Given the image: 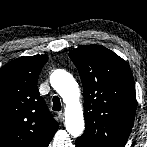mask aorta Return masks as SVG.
<instances>
[{
    "instance_id": "762f6f07",
    "label": "aorta",
    "mask_w": 147,
    "mask_h": 147,
    "mask_svg": "<svg viewBox=\"0 0 147 147\" xmlns=\"http://www.w3.org/2000/svg\"><path fill=\"white\" fill-rule=\"evenodd\" d=\"M50 83L66 104L65 127L67 132L74 137L81 135L85 124L77 82L67 71L57 69L51 74Z\"/></svg>"
}]
</instances>
